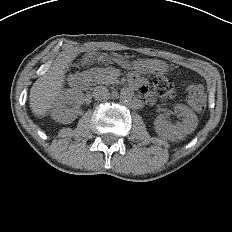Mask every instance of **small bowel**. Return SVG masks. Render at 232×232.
Segmentation results:
<instances>
[{
    "label": "small bowel",
    "mask_w": 232,
    "mask_h": 232,
    "mask_svg": "<svg viewBox=\"0 0 232 232\" xmlns=\"http://www.w3.org/2000/svg\"><path fill=\"white\" fill-rule=\"evenodd\" d=\"M141 90H143L145 92V86L141 85Z\"/></svg>",
    "instance_id": "c3829d8e"
}]
</instances>
